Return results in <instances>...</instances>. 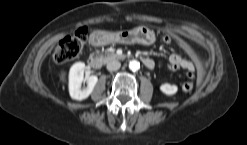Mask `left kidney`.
Instances as JSON below:
<instances>
[{"mask_svg":"<svg viewBox=\"0 0 247 145\" xmlns=\"http://www.w3.org/2000/svg\"><path fill=\"white\" fill-rule=\"evenodd\" d=\"M160 90L166 95H174L178 91V87L176 85L164 83L160 86Z\"/></svg>","mask_w":247,"mask_h":145,"instance_id":"1","label":"left kidney"}]
</instances>
